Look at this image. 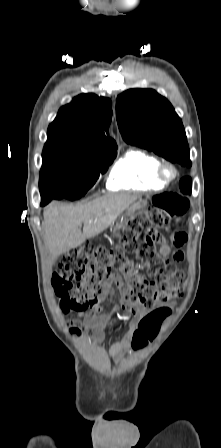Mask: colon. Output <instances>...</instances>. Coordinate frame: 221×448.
Listing matches in <instances>:
<instances>
[{
	"instance_id": "colon-1",
	"label": "colon",
	"mask_w": 221,
	"mask_h": 448,
	"mask_svg": "<svg viewBox=\"0 0 221 448\" xmlns=\"http://www.w3.org/2000/svg\"><path fill=\"white\" fill-rule=\"evenodd\" d=\"M153 207L124 221L118 247H80L71 250L52 277V287L63 312L93 307L105 283L121 273V282L132 305L153 310L142 319L133 335V344L156 337L161 320L169 313L167 303L183 294L184 273L156 248L159 237L153 227H171L185 217L189 202L176 193L153 197ZM133 253L150 279L144 278L126 258Z\"/></svg>"
}]
</instances>
